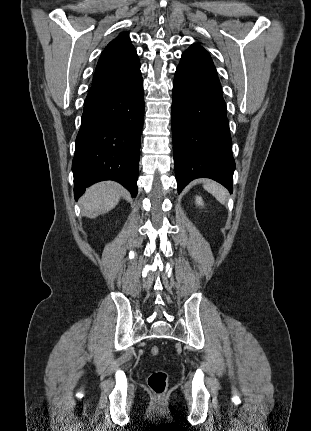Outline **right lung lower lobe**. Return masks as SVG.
<instances>
[{"mask_svg": "<svg viewBox=\"0 0 311 431\" xmlns=\"http://www.w3.org/2000/svg\"><path fill=\"white\" fill-rule=\"evenodd\" d=\"M143 116L140 64L124 76L92 84L72 162L76 200L102 180L117 181L137 195Z\"/></svg>", "mask_w": 311, "mask_h": 431, "instance_id": "98d812e1", "label": "right lung lower lobe"}]
</instances>
